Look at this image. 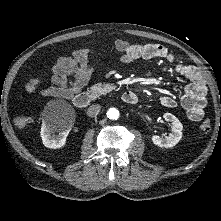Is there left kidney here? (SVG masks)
Here are the masks:
<instances>
[{
	"mask_svg": "<svg viewBox=\"0 0 221 221\" xmlns=\"http://www.w3.org/2000/svg\"><path fill=\"white\" fill-rule=\"evenodd\" d=\"M163 118L165 119V121L170 122L173 125L171 133L165 138L154 135L151 137L152 142L159 147H173L182 138L183 125L179 121V119L171 113H164Z\"/></svg>",
	"mask_w": 221,
	"mask_h": 221,
	"instance_id": "5707ae66",
	"label": "left kidney"
}]
</instances>
